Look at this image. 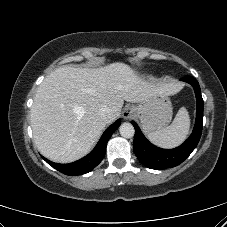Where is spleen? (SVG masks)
<instances>
[{
  "mask_svg": "<svg viewBox=\"0 0 227 227\" xmlns=\"http://www.w3.org/2000/svg\"><path fill=\"white\" fill-rule=\"evenodd\" d=\"M190 117L185 107L176 114L172 124L148 134L149 140L162 148H174L180 145L189 133Z\"/></svg>",
  "mask_w": 227,
  "mask_h": 227,
  "instance_id": "spleen-1",
  "label": "spleen"
}]
</instances>
